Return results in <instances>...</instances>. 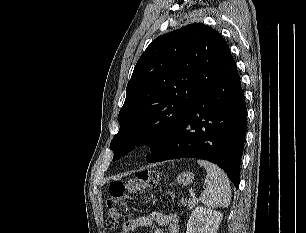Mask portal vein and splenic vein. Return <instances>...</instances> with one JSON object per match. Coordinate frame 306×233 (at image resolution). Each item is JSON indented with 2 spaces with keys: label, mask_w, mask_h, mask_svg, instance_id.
<instances>
[{
  "label": "portal vein and splenic vein",
  "mask_w": 306,
  "mask_h": 233,
  "mask_svg": "<svg viewBox=\"0 0 306 233\" xmlns=\"http://www.w3.org/2000/svg\"><path fill=\"white\" fill-rule=\"evenodd\" d=\"M190 195H191L192 197H194V196H195V192H194V191H191V192H190Z\"/></svg>",
  "instance_id": "1"
}]
</instances>
